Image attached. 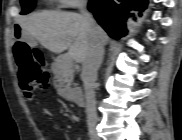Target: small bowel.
<instances>
[{
	"instance_id": "obj_1",
	"label": "small bowel",
	"mask_w": 182,
	"mask_h": 140,
	"mask_svg": "<svg viewBox=\"0 0 182 140\" xmlns=\"http://www.w3.org/2000/svg\"><path fill=\"white\" fill-rule=\"evenodd\" d=\"M44 113L47 115V116H50V113L48 110H44Z\"/></svg>"
}]
</instances>
